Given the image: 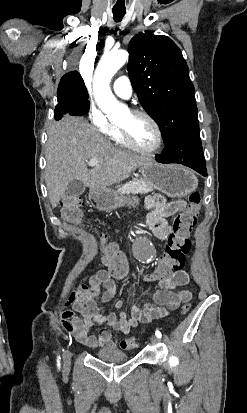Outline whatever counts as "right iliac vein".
Listing matches in <instances>:
<instances>
[{"instance_id":"1","label":"right iliac vein","mask_w":247,"mask_h":413,"mask_svg":"<svg viewBox=\"0 0 247 413\" xmlns=\"http://www.w3.org/2000/svg\"><path fill=\"white\" fill-rule=\"evenodd\" d=\"M70 361H71V353L69 350H67L66 352H64L63 354V365H64V369H68L70 366Z\"/></svg>"}]
</instances>
